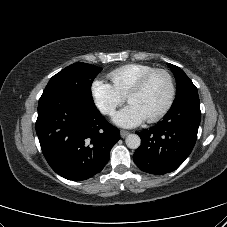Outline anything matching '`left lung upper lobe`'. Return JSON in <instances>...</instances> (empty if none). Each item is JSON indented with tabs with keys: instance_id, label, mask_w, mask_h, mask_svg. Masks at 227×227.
I'll list each match as a JSON object with an SVG mask.
<instances>
[{
	"instance_id": "left-lung-upper-lobe-1",
	"label": "left lung upper lobe",
	"mask_w": 227,
	"mask_h": 227,
	"mask_svg": "<svg viewBox=\"0 0 227 227\" xmlns=\"http://www.w3.org/2000/svg\"><path fill=\"white\" fill-rule=\"evenodd\" d=\"M168 66L172 70L177 83V93L174 102L182 99L187 95L198 94L197 88L181 68L170 63L168 64Z\"/></svg>"
}]
</instances>
